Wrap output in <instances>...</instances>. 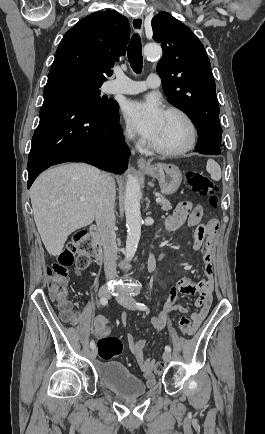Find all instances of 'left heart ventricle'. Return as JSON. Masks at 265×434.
<instances>
[{
  "instance_id": "left-heart-ventricle-1",
  "label": "left heart ventricle",
  "mask_w": 265,
  "mask_h": 434,
  "mask_svg": "<svg viewBox=\"0 0 265 434\" xmlns=\"http://www.w3.org/2000/svg\"><path fill=\"white\" fill-rule=\"evenodd\" d=\"M187 135V126L180 117L165 114L156 138L150 143L160 149H177L186 142Z\"/></svg>"
}]
</instances>
